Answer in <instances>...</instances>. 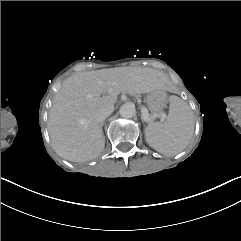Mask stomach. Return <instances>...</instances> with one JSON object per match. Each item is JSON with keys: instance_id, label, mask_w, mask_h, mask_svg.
Instances as JSON below:
<instances>
[{"instance_id": "1", "label": "stomach", "mask_w": 241, "mask_h": 241, "mask_svg": "<svg viewBox=\"0 0 241 241\" xmlns=\"http://www.w3.org/2000/svg\"><path fill=\"white\" fill-rule=\"evenodd\" d=\"M146 103L151 112H160L166 107L167 97L164 91H153L147 95Z\"/></svg>"}]
</instances>
